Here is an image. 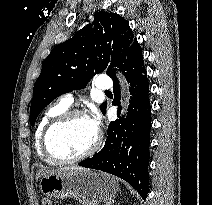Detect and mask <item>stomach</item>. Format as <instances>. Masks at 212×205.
Returning <instances> with one entry per match:
<instances>
[{
  "label": "stomach",
  "instance_id": "1",
  "mask_svg": "<svg viewBox=\"0 0 212 205\" xmlns=\"http://www.w3.org/2000/svg\"><path fill=\"white\" fill-rule=\"evenodd\" d=\"M43 194L55 198H72L83 205L112 201L119 190L116 178L92 170H61L42 176L39 183Z\"/></svg>",
  "mask_w": 212,
  "mask_h": 205
}]
</instances>
